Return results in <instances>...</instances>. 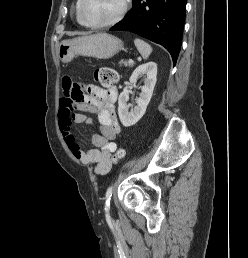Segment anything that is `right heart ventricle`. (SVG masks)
Wrapping results in <instances>:
<instances>
[{
	"mask_svg": "<svg viewBox=\"0 0 248 258\" xmlns=\"http://www.w3.org/2000/svg\"><path fill=\"white\" fill-rule=\"evenodd\" d=\"M74 13H75L76 21H77L80 25H84V23L82 22V20H81L80 17H79V14H78V0L76 1V4H75Z\"/></svg>",
	"mask_w": 248,
	"mask_h": 258,
	"instance_id": "right-heart-ventricle-1",
	"label": "right heart ventricle"
}]
</instances>
